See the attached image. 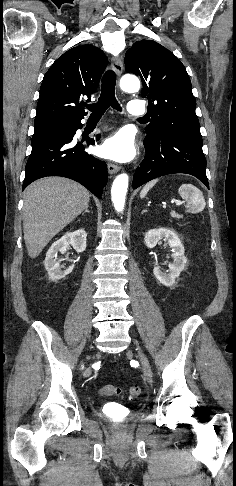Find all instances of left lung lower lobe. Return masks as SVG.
Segmentation results:
<instances>
[{
	"label": "left lung lower lobe",
	"mask_w": 236,
	"mask_h": 486,
	"mask_svg": "<svg viewBox=\"0 0 236 486\" xmlns=\"http://www.w3.org/2000/svg\"><path fill=\"white\" fill-rule=\"evenodd\" d=\"M146 155L134 174L133 189L167 174L186 173L197 177L208 188L202 138L181 133L162 134L144 140Z\"/></svg>",
	"instance_id": "left-lung-lower-lobe-1"
}]
</instances>
